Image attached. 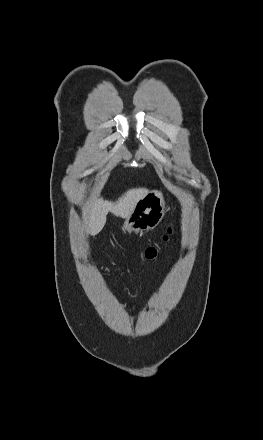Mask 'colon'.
Returning <instances> with one entry per match:
<instances>
[{"mask_svg": "<svg viewBox=\"0 0 263 440\" xmlns=\"http://www.w3.org/2000/svg\"><path fill=\"white\" fill-rule=\"evenodd\" d=\"M172 234H173V227H169L167 232L162 236L161 241L159 242V244L157 245H153V246H149L145 249L144 251V258L147 261H153L155 260L161 249L169 244L171 242V238H172Z\"/></svg>", "mask_w": 263, "mask_h": 440, "instance_id": "obj_1", "label": "colon"}]
</instances>
